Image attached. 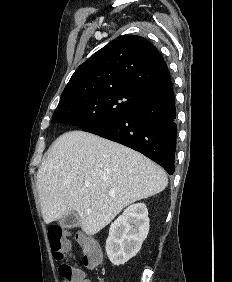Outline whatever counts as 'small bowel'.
<instances>
[{
    "label": "small bowel",
    "mask_w": 232,
    "mask_h": 282,
    "mask_svg": "<svg viewBox=\"0 0 232 282\" xmlns=\"http://www.w3.org/2000/svg\"><path fill=\"white\" fill-rule=\"evenodd\" d=\"M79 273H80V275H81V277H82V279H81L80 282H91V280H89L88 278H86L84 272H83L81 269H80Z\"/></svg>",
    "instance_id": "small-bowel-1"
}]
</instances>
